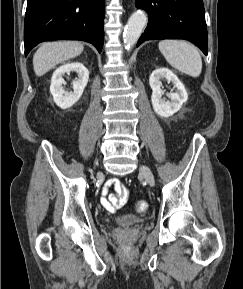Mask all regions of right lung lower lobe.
Returning a JSON list of instances; mask_svg holds the SVG:
<instances>
[{
    "instance_id": "98d812e1",
    "label": "right lung lower lobe",
    "mask_w": 243,
    "mask_h": 289,
    "mask_svg": "<svg viewBox=\"0 0 243 289\" xmlns=\"http://www.w3.org/2000/svg\"><path fill=\"white\" fill-rule=\"evenodd\" d=\"M104 14V0H28L25 56L38 43L54 39L86 41L101 52Z\"/></svg>"
}]
</instances>
